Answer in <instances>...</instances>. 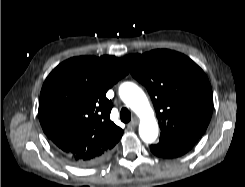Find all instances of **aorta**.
Returning <instances> with one entry per match:
<instances>
[{
    "instance_id": "obj_1",
    "label": "aorta",
    "mask_w": 245,
    "mask_h": 187,
    "mask_svg": "<svg viewBox=\"0 0 245 187\" xmlns=\"http://www.w3.org/2000/svg\"><path fill=\"white\" fill-rule=\"evenodd\" d=\"M122 101L139 117V135L146 143H152L158 136V124L149 101L140 87L132 82H125L119 87Z\"/></svg>"
}]
</instances>
